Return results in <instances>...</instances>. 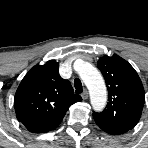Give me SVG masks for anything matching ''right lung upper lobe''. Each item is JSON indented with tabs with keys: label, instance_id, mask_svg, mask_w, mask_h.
<instances>
[{
	"label": "right lung upper lobe",
	"instance_id": "obj_1",
	"mask_svg": "<svg viewBox=\"0 0 148 148\" xmlns=\"http://www.w3.org/2000/svg\"><path fill=\"white\" fill-rule=\"evenodd\" d=\"M59 64L50 60L35 65L22 79L14 97L17 119L33 133L55 129L69 107L82 100L68 80L58 73Z\"/></svg>",
	"mask_w": 148,
	"mask_h": 148
}]
</instances>
